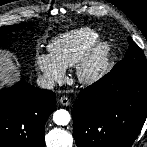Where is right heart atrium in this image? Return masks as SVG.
I'll use <instances>...</instances> for the list:
<instances>
[{
	"label": "right heart atrium",
	"instance_id": "obj_1",
	"mask_svg": "<svg viewBox=\"0 0 147 147\" xmlns=\"http://www.w3.org/2000/svg\"><path fill=\"white\" fill-rule=\"evenodd\" d=\"M35 64L37 69L51 82H60L65 77V68L56 62L49 54L36 56Z\"/></svg>",
	"mask_w": 147,
	"mask_h": 147
}]
</instances>
